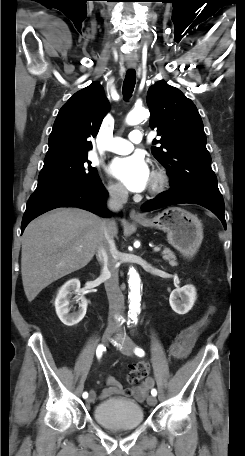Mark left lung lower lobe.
<instances>
[{
	"mask_svg": "<svg viewBox=\"0 0 245 456\" xmlns=\"http://www.w3.org/2000/svg\"><path fill=\"white\" fill-rule=\"evenodd\" d=\"M183 203H194L209 209L221 220L223 226L226 228L224 200L220 193L171 189L159 194L156 198L147 201L142 205L141 209L143 211H151Z\"/></svg>",
	"mask_w": 245,
	"mask_h": 456,
	"instance_id": "0a47b994",
	"label": "left lung lower lobe"
}]
</instances>
